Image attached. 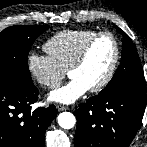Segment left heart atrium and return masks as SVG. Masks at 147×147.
Masks as SVG:
<instances>
[{
    "instance_id": "1",
    "label": "left heart atrium",
    "mask_w": 147,
    "mask_h": 147,
    "mask_svg": "<svg viewBox=\"0 0 147 147\" xmlns=\"http://www.w3.org/2000/svg\"><path fill=\"white\" fill-rule=\"evenodd\" d=\"M89 90L88 86L77 78H71L63 86L51 91L48 100L60 104H72Z\"/></svg>"
}]
</instances>
